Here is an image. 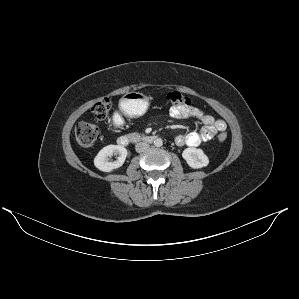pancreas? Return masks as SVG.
<instances>
[{
  "label": "pancreas",
  "mask_w": 299,
  "mask_h": 299,
  "mask_svg": "<svg viewBox=\"0 0 299 299\" xmlns=\"http://www.w3.org/2000/svg\"><path fill=\"white\" fill-rule=\"evenodd\" d=\"M132 136H133L134 140H137L140 137V134L139 133H133Z\"/></svg>",
  "instance_id": "1"
}]
</instances>
